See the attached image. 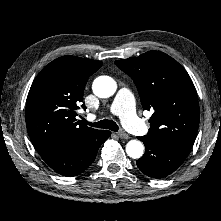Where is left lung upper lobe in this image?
<instances>
[{
    "label": "left lung upper lobe",
    "instance_id": "5c2ea615",
    "mask_svg": "<svg viewBox=\"0 0 221 221\" xmlns=\"http://www.w3.org/2000/svg\"><path fill=\"white\" fill-rule=\"evenodd\" d=\"M115 63L133 79L143 109L153 113L146 136L191 149L200 116L197 93L185 69L159 51Z\"/></svg>",
    "mask_w": 221,
    "mask_h": 221
}]
</instances>
